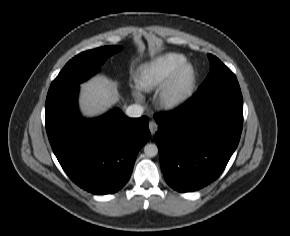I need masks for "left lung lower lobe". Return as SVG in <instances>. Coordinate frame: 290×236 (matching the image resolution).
Listing matches in <instances>:
<instances>
[{"label": "left lung lower lobe", "instance_id": "obj_1", "mask_svg": "<svg viewBox=\"0 0 290 236\" xmlns=\"http://www.w3.org/2000/svg\"><path fill=\"white\" fill-rule=\"evenodd\" d=\"M161 169L169 186L192 192L214 181L237 148L243 125L238 81L197 91L177 109L155 116Z\"/></svg>", "mask_w": 290, "mask_h": 236}]
</instances>
